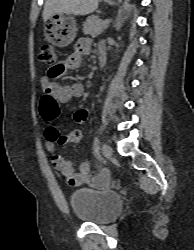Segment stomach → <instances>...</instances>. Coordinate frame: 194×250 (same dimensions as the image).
<instances>
[{"instance_id":"obj_1","label":"stomach","mask_w":194,"mask_h":250,"mask_svg":"<svg viewBox=\"0 0 194 250\" xmlns=\"http://www.w3.org/2000/svg\"><path fill=\"white\" fill-rule=\"evenodd\" d=\"M106 1L110 4H114L112 0ZM44 32L46 39L50 43L57 47H66L70 45L76 37V21L70 14H54L45 22Z\"/></svg>"}]
</instances>
